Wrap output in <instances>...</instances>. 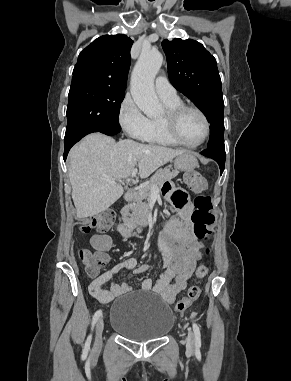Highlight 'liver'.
<instances>
[{"label":"liver","instance_id":"1","mask_svg":"<svg viewBox=\"0 0 291 381\" xmlns=\"http://www.w3.org/2000/svg\"><path fill=\"white\" fill-rule=\"evenodd\" d=\"M185 152L130 139L116 143L100 133L87 135L69 153V178L77 217L95 216L123 195L120 184L111 185L105 178L121 181L138 165L139 175L144 179Z\"/></svg>","mask_w":291,"mask_h":381}]
</instances>
